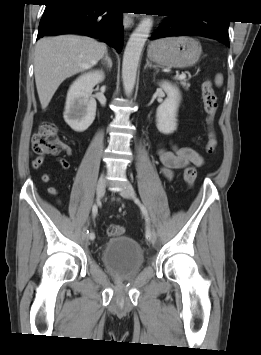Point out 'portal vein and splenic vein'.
Instances as JSON below:
<instances>
[{"instance_id":"obj_1","label":"portal vein and splenic vein","mask_w":261,"mask_h":355,"mask_svg":"<svg viewBox=\"0 0 261 355\" xmlns=\"http://www.w3.org/2000/svg\"><path fill=\"white\" fill-rule=\"evenodd\" d=\"M177 79H185L186 78V74L185 73H182V74H180V75H178L177 77H176Z\"/></svg>"}]
</instances>
